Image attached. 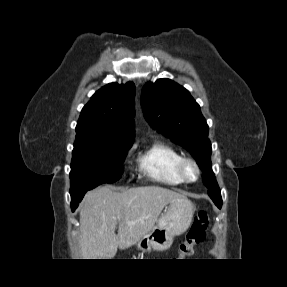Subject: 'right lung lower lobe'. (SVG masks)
Segmentation results:
<instances>
[{"mask_svg":"<svg viewBox=\"0 0 287 287\" xmlns=\"http://www.w3.org/2000/svg\"><path fill=\"white\" fill-rule=\"evenodd\" d=\"M95 187L96 186H92V187L86 188L84 191L76 193L75 195L71 196V199H72L71 200V209H72V211H75V209L78 207L79 202L82 200V198L84 197L85 193L88 190H91V189H93Z\"/></svg>","mask_w":287,"mask_h":287,"instance_id":"1","label":"right lung lower lobe"}]
</instances>
